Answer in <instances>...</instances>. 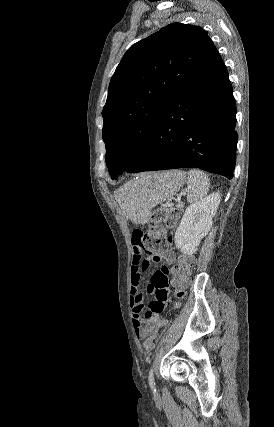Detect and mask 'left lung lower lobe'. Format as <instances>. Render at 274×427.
<instances>
[{
    "mask_svg": "<svg viewBox=\"0 0 274 427\" xmlns=\"http://www.w3.org/2000/svg\"><path fill=\"white\" fill-rule=\"evenodd\" d=\"M235 124L231 82L213 45L166 108L143 153L126 172L195 167L232 179L238 139Z\"/></svg>",
    "mask_w": 274,
    "mask_h": 427,
    "instance_id": "1",
    "label": "left lung lower lobe"
}]
</instances>
